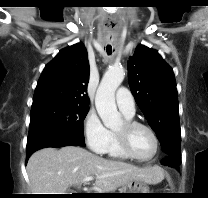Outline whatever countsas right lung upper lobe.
<instances>
[{"instance_id":"1","label":"right lung upper lobe","mask_w":208,"mask_h":198,"mask_svg":"<svg viewBox=\"0 0 208 198\" xmlns=\"http://www.w3.org/2000/svg\"><path fill=\"white\" fill-rule=\"evenodd\" d=\"M88 54L78 43L62 49L46 65L35 89L32 107L69 102L88 105Z\"/></svg>"}]
</instances>
